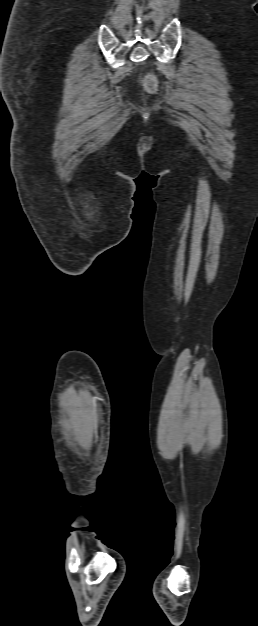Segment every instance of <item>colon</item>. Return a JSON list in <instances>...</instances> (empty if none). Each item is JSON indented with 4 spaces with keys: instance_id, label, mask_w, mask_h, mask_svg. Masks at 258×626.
<instances>
[{
    "instance_id": "1",
    "label": "colon",
    "mask_w": 258,
    "mask_h": 626,
    "mask_svg": "<svg viewBox=\"0 0 258 626\" xmlns=\"http://www.w3.org/2000/svg\"><path fill=\"white\" fill-rule=\"evenodd\" d=\"M147 84L150 88H153L155 86V81L153 79H149Z\"/></svg>"
}]
</instances>
